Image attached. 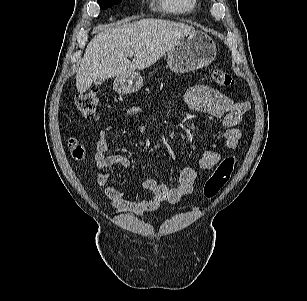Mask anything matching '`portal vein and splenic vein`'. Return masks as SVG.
<instances>
[{
	"label": "portal vein and splenic vein",
	"mask_w": 307,
	"mask_h": 301,
	"mask_svg": "<svg viewBox=\"0 0 307 301\" xmlns=\"http://www.w3.org/2000/svg\"><path fill=\"white\" fill-rule=\"evenodd\" d=\"M130 55H135V54L132 52V53H130Z\"/></svg>",
	"instance_id": "obj_1"
}]
</instances>
